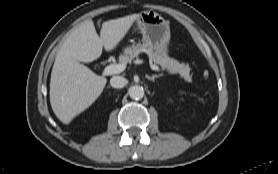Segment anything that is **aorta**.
<instances>
[{"label":"aorta","mask_w":278,"mask_h":174,"mask_svg":"<svg viewBox=\"0 0 278 174\" xmlns=\"http://www.w3.org/2000/svg\"><path fill=\"white\" fill-rule=\"evenodd\" d=\"M129 96L134 100H140L144 96V89L142 86L133 85L128 90Z\"/></svg>","instance_id":"1"}]
</instances>
